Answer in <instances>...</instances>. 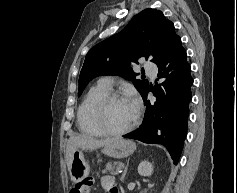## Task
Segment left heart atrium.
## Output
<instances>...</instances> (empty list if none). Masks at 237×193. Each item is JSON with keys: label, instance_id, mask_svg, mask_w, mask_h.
<instances>
[{"label": "left heart atrium", "instance_id": "left-heart-atrium-1", "mask_svg": "<svg viewBox=\"0 0 237 193\" xmlns=\"http://www.w3.org/2000/svg\"><path fill=\"white\" fill-rule=\"evenodd\" d=\"M133 103H134L135 107H136V105L138 104V102H137V101H133Z\"/></svg>", "mask_w": 237, "mask_h": 193}]
</instances>
